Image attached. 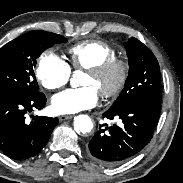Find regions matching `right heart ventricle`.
I'll return each mask as SVG.
<instances>
[{
    "label": "right heart ventricle",
    "instance_id": "1",
    "mask_svg": "<svg viewBox=\"0 0 183 183\" xmlns=\"http://www.w3.org/2000/svg\"><path fill=\"white\" fill-rule=\"evenodd\" d=\"M116 55L113 46L99 40L82 41L68 48L69 64L74 69H88Z\"/></svg>",
    "mask_w": 183,
    "mask_h": 183
}]
</instances>
